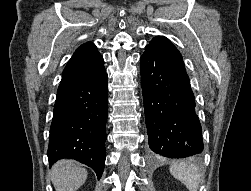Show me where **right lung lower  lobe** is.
<instances>
[{
	"mask_svg": "<svg viewBox=\"0 0 251 191\" xmlns=\"http://www.w3.org/2000/svg\"><path fill=\"white\" fill-rule=\"evenodd\" d=\"M107 109V73L57 93L47 152L50 166L74 159L91 167L99 179L105 165Z\"/></svg>",
	"mask_w": 251,
	"mask_h": 191,
	"instance_id": "right-lung-lower-lobe-1",
	"label": "right lung lower lobe"
}]
</instances>
